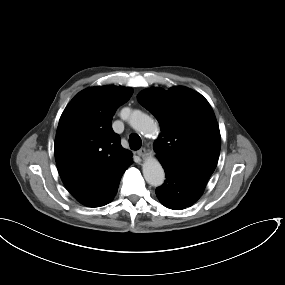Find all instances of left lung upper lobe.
<instances>
[{
	"mask_svg": "<svg viewBox=\"0 0 285 285\" xmlns=\"http://www.w3.org/2000/svg\"><path fill=\"white\" fill-rule=\"evenodd\" d=\"M138 101L160 124L154 149L161 164L208 180L221 147L219 126L208 101L186 87L147 89L139 93Z\"/></svg>",
	"mask_w": 285,
	"mask_h": 285,
	"instance_id": "obj_1",
	"label": "left lung upper lobe"
}]
</instances>
